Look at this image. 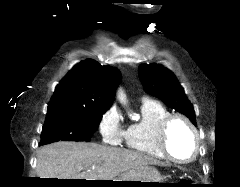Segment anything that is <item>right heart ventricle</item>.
Returning a JSON list of instances; mask_svg holds the SVG:
<instances>
[{
    "label": "right heart ventricle",
    "mask_w": 240,
    "mask_h": 187,
    "mask_svg": "<svg viewBox=\"0 0 240 187\" xmlns=\"http://www.w3.org/2000/svg\"><path fill=\"white\" fill-rule=\"evenodd\" d=\"M141 113V120L125 130L126 147L153 158H166L159 149L157 131L161 121L170 115V112L161 103L146 100L141 105Z\"/></svg>",
    "instance_id": "right-heart-ventricle-1"
}]
</instances>
